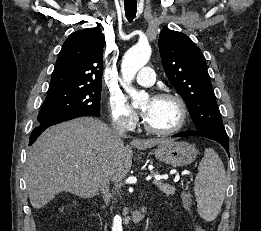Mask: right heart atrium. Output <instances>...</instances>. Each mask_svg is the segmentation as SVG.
I'll return each mask as SVG.
<instances>
[{
    "mask_svg": "<svg viewBox=\"0 0 261 231\" xmlns=\"http://www.w3.org/2000/svg\"><path fill=\"white\" fill-rule=\"evenodd\" d=\"M108 106L110 118L114 125L123 130H131L136 126L138 116L121 95L112 94Z\"/></svg>",
    "mask_w": 261,
    "mask_h": 231,
    "instance_id": "1",
    "label": "right heart atrium"
}]
</instances>
